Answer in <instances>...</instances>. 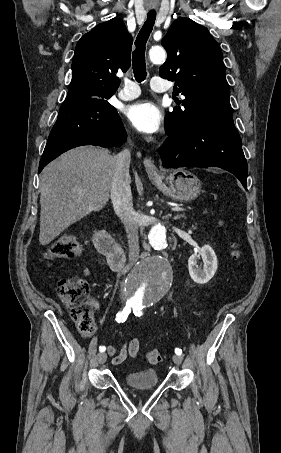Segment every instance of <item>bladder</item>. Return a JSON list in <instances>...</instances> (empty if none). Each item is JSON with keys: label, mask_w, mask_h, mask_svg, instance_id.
Returning <instances> with one entry per match:
<instances>
[{"label": "bladder", "mask_w": 281, "mask_h": 453, "mask_svg": "<svg viewBox=\"0 0 281 453\" xmlns=\"http://www.w3.org/2000/svg\"><path fill=\"white\" fill-rule=\"evenodd\" d=\"M125 383L133 388H152L158 383L157 373L152 369L127 373Z\"/></svg>", "instance_id": "1"}]
</instances>
